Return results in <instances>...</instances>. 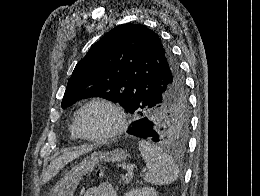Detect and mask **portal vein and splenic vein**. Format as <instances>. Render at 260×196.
<instances>
[{
  "label": "portal vein and splenic vein",
  "mask_w": 260,
  "mask_h": 196,
  "mask_svg": "<svg viewBox=\"0 0 260 196\" xmlns=\"http://www.w3.org/2000/svg\"><path fill=\"white\" fill-rule=\"evenodd\" d=\"M127 168H128V174H131V176H133V170L134 168H136V166H133V164H128Z\"/></svg>",
  "instance_id": "portal-vein-and-splenic-vein-1"
}]
</instances>
